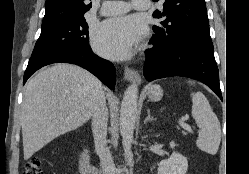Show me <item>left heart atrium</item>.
Segmentation results:
<instances>
[{
	"instance_id": "obj_1",
	"label": "left heart atrium",
	"mask_w": 249,
	"mask_h": 174,
	"mask_svg": "<svg viewBox=\"0 0 249 174\" xmlns=\"http://www.w3.org/2000/svg\"><path fill=\"white\" fill-rule=\"evenodd\" d=\"M143 22L136 16H122L102 22L93 35V46L101 55L121 60L131 55L144 32Z\"/></svg>"
}]
</instances>
